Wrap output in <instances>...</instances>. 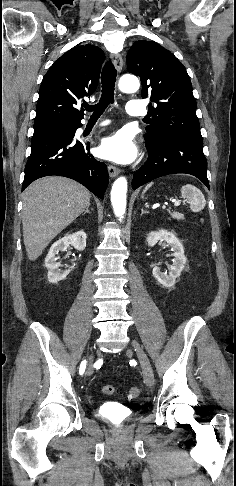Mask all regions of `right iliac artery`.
Segmentation results:
<instances>
[{
  "label": "right iliac artery",
  "mask_w": 236,
  "mask_h": 486,
  "mask_svg": "<svg viewBox=\"0 0 236 486\" xmlns=\"http://www.w3.org/2000/svg\"><path fill=\"white\" fill-rule=\"evenodd\" d=\"M85 368H86V361H82L81 362V365H80V369H79V373L82 375L85 371Z\"/></svg>",
  "instance_id": "1"
}]
</instances>
